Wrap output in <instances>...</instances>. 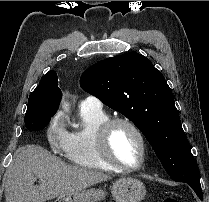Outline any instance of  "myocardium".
<instances>
[{"mask_svg": "<svg viewBox=\"0 0 209 202\" xmlns=\"http://www.w3.org/2000/svg\"><path fill=\"white\" fill-rule=\"evenodd\" d=\"M119 124L130 127L137 135L141 145V159L136 166H127L117 161L111 154L109 139L113 128ZM96 147L103 161L111 168L124 172H135L145 164L148 152V145L141 128L131 119L125 117H112L105 121L96 133Z\"/></svg>", "mask_w": 209, "mask_h": 202, "instance_id": "1", "label": "myocardium"}]
</instances>
